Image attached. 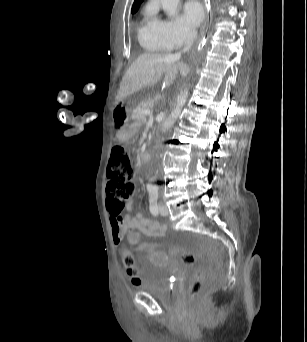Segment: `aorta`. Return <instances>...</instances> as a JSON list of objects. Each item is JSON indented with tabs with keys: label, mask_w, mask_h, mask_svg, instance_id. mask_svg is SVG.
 <instances>
[{
	"label": "aorta",
	"mask_w": 307,
	"mask_h": 342,
	"mask_svg": "<svg viewBox=\"0 0 307 342\" xmlns=\"http://www.w3.org/2000/svg\"><path fill=\"white\" fill-rule=\"evenodd\" d=\"M179 2L180 0H161L162 8L166 16H168V18H172V16H175V14H177V8L179 6ZM188 96H189V88H185V90H182L179 96H177L176 108L174 112H171V114H169L162 128V132H168L171 126H173L175 120H177L178 116H180L181 108H183Z\"/></svg>",
	"instance_id": "aorta-1"
}]
</instances>
